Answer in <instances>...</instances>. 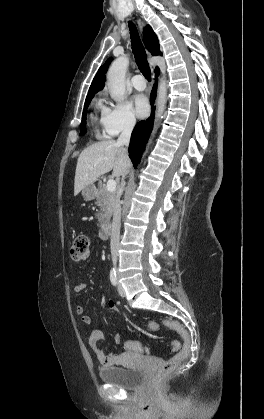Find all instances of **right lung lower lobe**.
<instances>
[{
	"label": "right lung lower lobe",
	"instance_id": "98d812e1",
	"mask_svg": "<svg viewBox=\"0 0 264 419\" xmlns=\"http://www.w3.org/2000/svg\"><path fill=\"white\" fill-rule=\"evenodd\" d=\"M156 75H159V70L155 71ZM157 82V81H156ZM156 85H154L153 91L150 96V103L152 105L151 116L144 121H140L136 124L130 140L129 145V156L133 162L134 167L136 168L141 154L145 148L149 135L153 128L155 107L153 106L155 100Z\"/></svg>",
	"mask_w": 264,
	"mask_h": 419
}]
</instances>
